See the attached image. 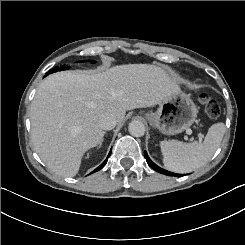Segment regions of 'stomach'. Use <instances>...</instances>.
I'll use <instances>...</instances> for the list:
<instances>
[{"mask_svg": "<svg viewBox=\"0 0 245 245\" xmlns=\"http://www.w3.org/2000/svg\"><path fill=\"white\" fill-rule=\"evenodd\" d=\"M197 113L190 95L179 90L163 100L155 113H147L145 117L161 133L174 135L188 129L194 123Z\"/></svg>", "mask_w": 245, "mask_h": 245, "instance_id": "1", "label": "stomach"}]
</instances>
